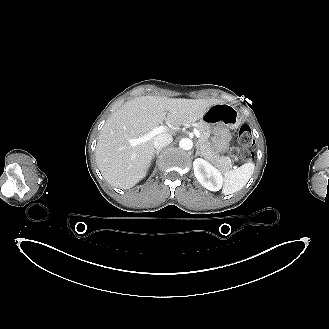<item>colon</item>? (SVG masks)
Listing matches in <instances>:
<instances>
[{"mask_svg":"<svg viewBox=\"0 0 329 329\" xmlns=\"http://www.w3.org/2000/svg\"><path fill=\"white\" fill-rule=\"evenodd\" d=\"M238 142L240 147L232 148L230 155L242 161L250 160L253 155L249 148L254 143V137L252 129L249 125L244 124L239 128Z\"/></svg>","mask_w":329,"mask_h":329,"instance_id":"obj_1","label":"colon"}]
</instances>
